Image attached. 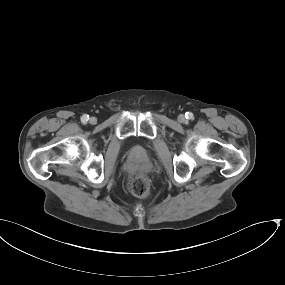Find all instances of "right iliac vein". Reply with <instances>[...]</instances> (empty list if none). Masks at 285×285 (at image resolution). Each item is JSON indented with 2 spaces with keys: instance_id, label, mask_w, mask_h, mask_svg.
<instances>
[{
  "instance_id": "right-iliac-vein-1",
  "label": "right iliac vein",
  "mask_w": 285,
  "mask_h": 285,
  "mask_svg": "<svg viewBox=\"0 0 285 285\" xmlns=\"http://www.w3.org/2000/svg\"><path fill=\"white\" fill-rule=\"evenodd\" d=\"M96 122H97V120H96L95 117H91V118L89 119V123L92 124V125L96 124Z\"/></svg>"
}]
</instances>
